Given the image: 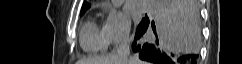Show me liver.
Wrapping results in <instances>:
<instances>
[{
	"label": "liver",
	"instance_id": "1",
	"mask_svg": "<svg viewBox=\"0 0 242 64\" xmlns=\"http://www.w3.org/2000/svg\"><path fill=\"white\" fill-rule=\"evenodd\" d=\"M178 27L187 35L193 36L195 41L200 39V29L197 28L195 20L191 17L187 10H184L180 14V21L178 22ZM77 64H123L121 60L118 59L117 55H108L95 59H81ZM126 64H148L141 61L138 58L132 57L128 59Z\"/></svg>",
	"mask_w": 242,
	"mask_h": 64
}]
</instances>
